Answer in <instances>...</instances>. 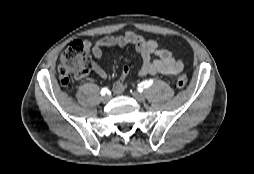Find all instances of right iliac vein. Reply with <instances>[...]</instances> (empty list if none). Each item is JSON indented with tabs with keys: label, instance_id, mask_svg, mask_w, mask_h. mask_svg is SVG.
Instances as JSON below:
<instances>
[{
	"label": "right iliac vein",
	"instance_id": "63e3f726",
	"mask_svg": "<svg viewBox=\"0 0 254 174\" xmlns=\"http://www.w3.org/2000/svg\"><path fill=\"white\" fill-rule=\"evenodd\" d=\"M110 101V96L109 95H105L104 97H102V102L103 103H108Z\"/></svg>",
	"mask_w": 254,
	"mask_h": 174
}]
</instances>
